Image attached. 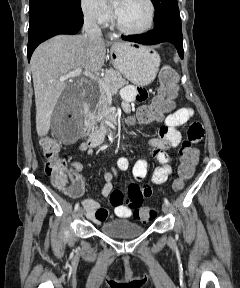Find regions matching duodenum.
<instances>
[{
	"label": "duodenum",
	"mask_w": 240,
	"mask_h": 288,
	"mask_svg": "<svg viewBox=\"0 0 240 288\" xmlns=\"http://www.w3.org/2000/svg\"><path fill=\"white\" fill-rule=\"evenodd\" d=\"M84 113L87 127L89 129L96 127V130L91 134L88 142L91 146H97L108 133L109 127L116 121L117 113L114 109L110 108L103 114L95 116L89 111L87 104H84Z\"/></svg>",
	"instance_id": "duodenum-1"
}]
</instances>
